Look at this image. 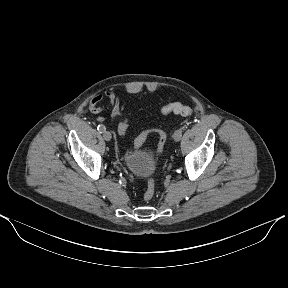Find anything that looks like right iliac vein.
I'll return each mask as SVG.
<instances>
[{
	"label": "right iliac vein",
	"mask_w": 288,
	"mask_h": 288,
	"mask_svg": "<svg viewBox=\"0 0 288 288\" xmlns=\"http://www.w3.org/2000/svg\"><path fill=\"white\" fill-rule=\"evenodd\" d=\"M103 138H104L106 141H110L111 138H112V135H111V133H110L109 131H105V132L103 133Z\"/></svg>",
	"instance_id": "1"
}]
</instances>
